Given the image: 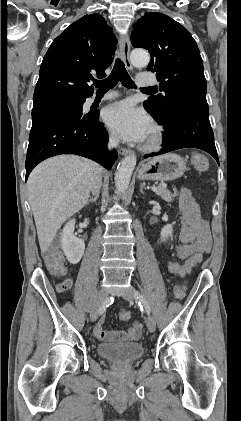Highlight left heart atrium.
I'll list each match as a JSON object with an SVG mask.
<instances>
[{
  "label": "left heart atrium",
  "mask_w": 241,
  "mask_h": 421,
  "mask_svg": "<svg viewBox=\"0 0 241 421\" xmlns=\"http://www.w3.org/2000/svg\"><path fill=\"white\" fill-rule=\"evenodd\" d=\"M103 118L111 130L126 141H143L151 130L150 118L131 100L110 105L104 111Z\"/></svg>",
  "instance_id": "39dd6f15"
}]
</instances>
